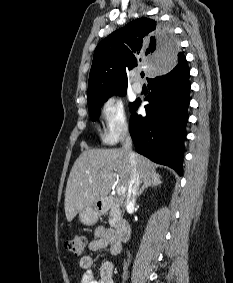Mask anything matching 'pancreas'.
<instances>
[{
    "label": "pancreas",
    "mask_w": 233,
    "mask_h": 283,
    "mask_svg": "<svg viewBox=\"0 0 233 283\" xmlns=\"http://www.w3.org/2000/svg\"><path fill=\"white\" fill-rule=\"evenodd\" d=\"M109 215V224L111 227H115L117 221L121 218V211L117 204H113Z\"/></svg>",
    "instance_id": "1"
}]
</instances>
